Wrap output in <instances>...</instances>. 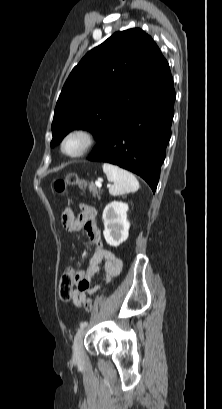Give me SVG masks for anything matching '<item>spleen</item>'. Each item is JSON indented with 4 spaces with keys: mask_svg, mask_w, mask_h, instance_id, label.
Wrapping results in <instances>:
<instances>
[{
    "mask_svg": "<svg viewBox=\"0 0 222 409\" xmlns=\"http://www.w3.org/2000/svg\"><path fill=\"white\" fill-rule=\"evenodd\" d=\"M102 169L107 179L112 182L109 187L112 196L135 192L140 188L138 180L132 173L109 163H104Z\"/></svg>",
    "mask_w": 222,
    "mask_h": 409,
    "instance_id": "3e777b00",
    "label": "spleen"
}]
</instances>
